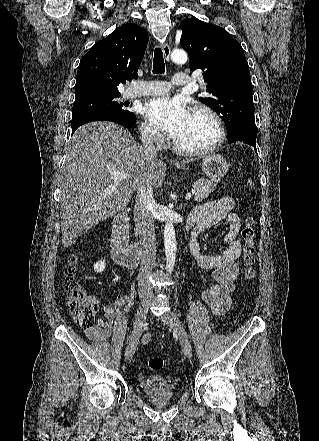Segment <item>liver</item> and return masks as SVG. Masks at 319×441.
I'll use <instances>...</instances> for the list:
<instances>
[{
  "label": "liver",
  "mask_w": 319,
  "mask_h": 441,
  "mask_svg": "<svg viewBox=\"0 0 319 441\" xmlns=\"http://www.w3.org/2000/svg\"><path fill=\"white\" fill-rule=\"evenodd\" d=\"M113 170L127 172L130 178L117 180ZM165 177L164 163L149 156L120 125L97 121L79 127L59 179L63 246H72L93 226L122 211L135 191L160 187Z\"/></svg>",
  "instance_id": "liver-1"
}]
</instances>
